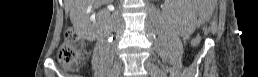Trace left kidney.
I'll return each instance as SVG.
<instances>
[{
    "instance_id": "5707ae66",
    "label": "left kidney",
    "mask_w": 258,
    "mask_h": 77,
    "mask_svg": "<svg viewBox=\"0 0 258 77\" xmlns=\"http://www.w3.org/2000/svg\"><path fill=\"white\" fill-rule=\"evenodd\" d=\"M183 21L184 22H190L191 21V19H190V16H191V12L188 10V9H186L184 12H183Z\"/></svg>"
}]
</instances>
